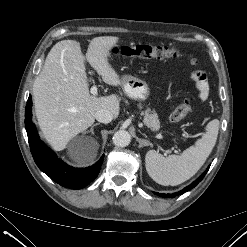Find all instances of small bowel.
<instances>
[{"label":"small bowel","mask_w":247,"mask_h":247,"mask_svg":"<svg viewBox=\"0 0 247 247\" xmlns=\"http://www.w3.org/2000/svg\"><path fill=\"white\" fill-rule=\"evenodd\" d=\"M193 79L198 91V98L201 101L205 100L209 94V86L205 75L202 72L198 71L193 74Z\"/></svg>","instance_id":"1"}]
</instances>
